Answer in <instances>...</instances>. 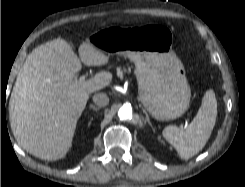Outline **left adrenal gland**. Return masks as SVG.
I'll list each match as a JSON object with an SVG mask.
<instances>
[{
  "mask_svg": "<svg viewBox=\"0 0 245 187\" xmlns=\"http://www.w3.org/2000/svg\"><path fill=\"white\" fill-rule=\"evenodd\" d=\"M142 110H143L144 114L146 115V118H145L144 122L148 123L152 127V124L150 122V119H149V116H148L147 112L144 109H142Z\"/></svg>",
  "mask_w": 245,
  "mask_h": 187,
  "instance_id": "obj_1",
  "label": "left adrenal gland"
}]
</instances>
